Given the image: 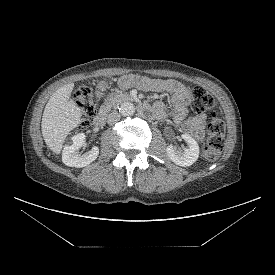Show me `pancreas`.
<instances>
[{
	"instance_id": "obj_1",
	"label": "pancreas",
	"mask_w": 275,
	"mask_h": 275,
	"mask_svg": "<svg viewBox=\"0 0 275 275\" xmlns=\"http://www.w3.org/2000/svg\"><path fill=\"white\" fill-rule=\"evenodd\" d=\"M131 98L128 93L116 90L105 98L103 108L110 109L111 107H116L124 101L131 100Z\"/></svg>"
}]
</instances>
